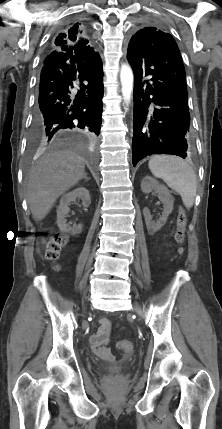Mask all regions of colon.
Returning a JSON list of instances; mask_svg holds the SVG:
<instances>
[{
    "mask_svg": "<svg viewBox=\"0 0 222 429\" xmlns=\"http://www.w3.org/2000/svg\"><path fill=\"white\" fill-rule=\"evenodd\" d=\"M187 223V217L182 208L179 209L177 217V232L175 234L176 241L181 244L185 238V227ZM66 241V237L59 232H52L43 241L45 257L50 261H57L59 258L60 250ZM118 348L126 353H130L133 350V344L129 340H121L117 344Z\"/></svg>",
    "mask_w": 222,
    "mask_h": 429,
    "instance_id": "colon-1",
    "label": "colon"
}]
</instances>
